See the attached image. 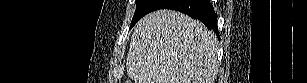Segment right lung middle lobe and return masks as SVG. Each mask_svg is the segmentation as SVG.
<instances>
[{"instance_id":"dd1d6c3e","label":"right lung middle lobe","mask_w":307,"mask_h":83,"mask_svg":"<svg viewBox=\"0 0 307 83\" xmlns=\"http://www.w3.org/2000/svg\"><path fill=\"white\" fill-rule=\"evenodd\" d=\"M153 2L154 0H136L137 8L132 19L131 27H133L140 18L149 13Z\"/></svg>"}]
</instances>
